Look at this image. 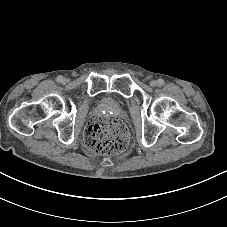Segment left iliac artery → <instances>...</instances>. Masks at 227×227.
<instances>
[{
    "label": "left iliac artery",
    "instance_id": "left-iliac-artery-1",
    "mask_svg": "<svg viewBox=\"0 0 227 227\" xmlns=\"http://www.w3.org/2000/svg\"><path fill=\"white\" fill-rule=\"evenodd\" d=\"M157 83L159 86H162L164 84V80L160 78L157 80Z\"/></svg>",
    "mask_w": 227,
    "mask_h": 227
}]
</instances>
